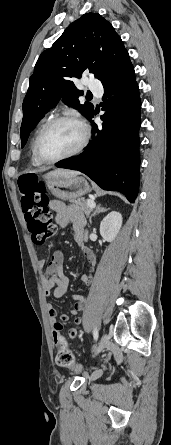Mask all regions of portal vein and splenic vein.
Wrapping results in <instances>:
<instances>
[{"mask_svg": "<svg viewBox=\"0 0 171 445\" xmlns=\"http://www.w3.org/2000/svg\"><path fill=\"white\" fill-rule=\"evenodd\" d=\"M87 204L90 208H94L95 207V202L93 200H88Z\"/></svg>", "mask_w": 171, "mask_h": 445, "instance_id": "portal-vein-and-splenic-vein-1", "label": "portal vein and splenic vein"}]
</instances>
